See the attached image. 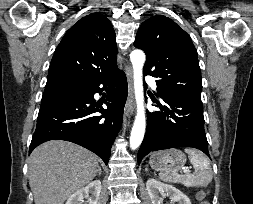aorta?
I'll list each match as a JSON object with an SVG mask.
<instances>
[{
  "instance_id": "obj_1",
  "label": "aorta",
  "mask_w": 253,
  "mask_h": 204,
  "mask_svg": "<svg viewBox=\"0 0 253 204\" xmlns=\"http://www.w3.org/2000/svg\"><path fill=\"white\" fill-rule=\"evenodd\" d=\"M130 60L133 66L134 90L137 103V115L130 135V147L131 149H137L143 140L146 126L142 81V69L145 63V54L141 50H134L130 54Z\"/></svg>"
}]
</instances>
